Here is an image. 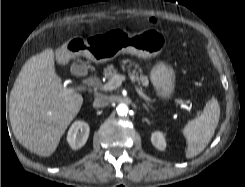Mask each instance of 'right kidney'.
<instances>
[{"label":"right kidney","instance_id":"ca27d5eb","mask_svg":"<svg viewBox=\"0 0 245 187\" xmlns=\"http://www.w3.org/2000/svg\"><path fill=\"white\" fill-rule=\"evenodd\" d=\"M89 132L90 128L86 122L75 121L68 131L67 142L73 150L80 149L85 145Z\"/></svg>","mask_w":245,"mask_h":187}]
</instances>
